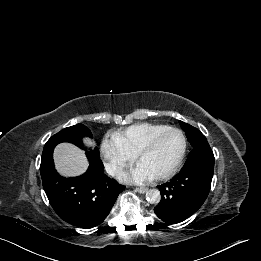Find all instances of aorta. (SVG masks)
Listing matches in <instances>:
<instances>
[{
    "mask_svg": "<svg viewBox=\"0 0 261 261\" xmlns=\"http://www.w3.org/2000/svg\"><path fill=\"white\" fill-rule=\"evenodd\" d=\"M146 199L151 204H157L161 200V194L158 189H149L146 192Z\"/></svg>",
    "mask_w": 261,
    "mask_h": 261,
    "instance_id": "1",
    "label": "aorta"
}]
</instances>
